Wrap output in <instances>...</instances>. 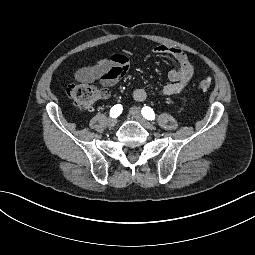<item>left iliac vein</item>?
<instances>
[{"label":"left iliac vein","instance_id":"4c4485c4","mask_svg":"<svg viewBox=\"0 0 255 255\" xmlns=\"http://www.w3.org/2000/svg\"><path fill=\"white\" fill-rule=\"evenodd\" d=\"M130 114L138 121L145 129L147 130H154L155 127L148 122L143 116L141 115L140 109L137 107L130 108Z\"/></svg>","mask_w":255,"mask_h":255}]
</instances>
